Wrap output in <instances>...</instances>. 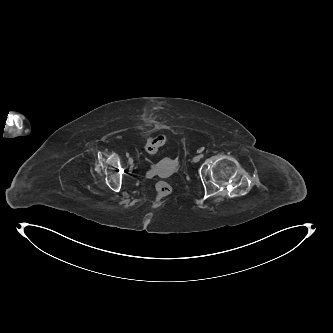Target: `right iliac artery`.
Returning a JSON list of instances; mask_svg holds the SVG:
<instances>
[{
  "mask_svg": "<svg viewBox=\"0 0 333 333\" xmlns=\"http://www.w3.org/2000/svg\"><path fill=\"white\" fill-rule=\"evenodd\" d=\"M126 156L129 157V153L128 152L126 153Z\"/></svg>",
  "mask_w": 333,
  "mask_h": 333,
  "instance_id": "82829eb1",
  "label": "right iliac artery"
}]
</instances>
